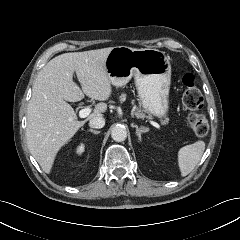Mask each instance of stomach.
Instances as JSON below:
<instances>
[{"mask_svg":"<svg viewBox=\"0 0 240 240\" xmlns=\"http://www.w3.org/2000/svg\"><path fill=\"white\" fill-rule=\"evenodd\" d=\"M170 58L157 49L113 47L105 60L111 84L126 85L133 77L140 107L150 115L163 117L169 109Z\"/></svg>","mask_w":240,"mask_h":240,"instance_id":"obj_1","label":"stomach"}]
</instances>
